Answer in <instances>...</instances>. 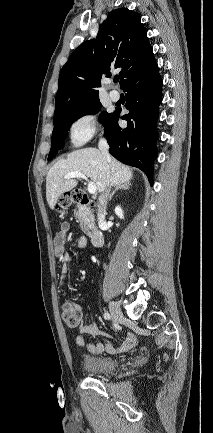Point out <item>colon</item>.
<instances>
[{"label": "colon", "instance_id": "obj_1", "mask_svg": "<svg viewBox=\"0 0 213 433\" xmlns=\"http://www.w3.org/2000/svg\"><path fill=\"white\" fill-rule=\"evenodd\" d=\"M81 202H87L90 206H94L93 200L84 190L76 189L60 197L57 209L60 212H64L73 205L80 204ZM62 318L68 327L75 329L81 324L82 311L77 304L65 302L62 305Z\"/></svg>", "mask_w": 213, "mask_h": 433}]
</instances>
